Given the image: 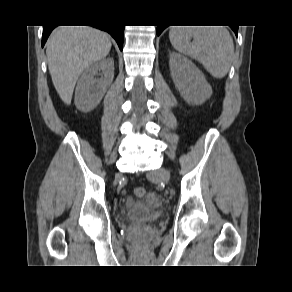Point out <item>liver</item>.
<instances>
[{
    "mask_svg": "<svg viewBox=\"0 0 292 292\" xmlns=\"http://www.w3.org/2000/svg\"><path fill=\"white\" fill-rule=\"evenodd\" d=\"M111 49L107 33L88 26H60L47 41L48 68L62 101L71 103L81 73L105 58Z\"/></svg>",
    "mask_w": 292,
    "mask_h": 292,
    "instance_id": "obj_1",
    "label": "liver"
}]
</instances>
